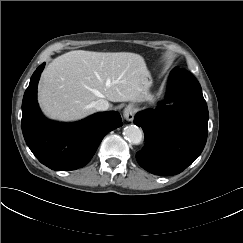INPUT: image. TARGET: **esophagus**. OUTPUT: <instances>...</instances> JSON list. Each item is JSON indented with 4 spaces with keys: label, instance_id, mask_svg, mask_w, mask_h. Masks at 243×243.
I'll return each instance as SVG.
<instances>
[{
    "label": "esophagus",
    "instance_id": "obj_1",
    "mask_svg": "<svg viewBox=\"0 0 243 243\" xmlns=\"http://www.w3.org/2000/svg\"><path fill=\"white\" fill-rule=\"evenodd\" d=\"M135 115V108L133 105H128L123 110V116L127 121H132Z\"/></svg>",
    "mask_w": 243,
    "mask_h": 243
}]
</instances>
